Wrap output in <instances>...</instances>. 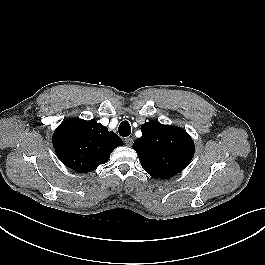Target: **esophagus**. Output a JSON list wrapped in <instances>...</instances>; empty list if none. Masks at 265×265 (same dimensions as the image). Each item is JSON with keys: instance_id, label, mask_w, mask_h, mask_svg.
I'll return each instance as SVG.
<instances>
[{"instance_id": "34e87169", "label": "esophagus", "mask_w": 265, "mask_h": 265, "mask_svg": "<svg viewBox=\"0 0 265 265\" xmlns=\"http://www.w3.org/2000/svg\"><path fill=\"white\" fill-rule=\"evenodd\" d=\"M124 141H125V144L129 147L133 144V138L131 137L125 138Z\"/></svg>"}]
</instances>
